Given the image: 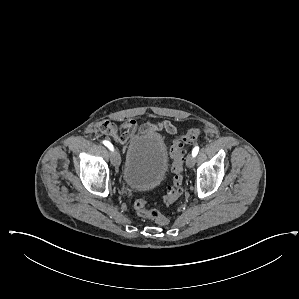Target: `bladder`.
I'll list each match as a JSON object with an SVG mask.
<instances>
[{
	"label": "bladder",
	"mask_w": 299,
	"mask_h": 299,
	"mask_svg": "<svg viewBox=\"0 0 299 299\" xmlns=\"http://www.w3.org/2000/svg\"><path fill=\"white\" fill-rule=\"evenodd\" d=\"M167 163V147L159 133L135 136L126 148L123 181L136 191L153 189L163 181Z\"/></svg>",
	"instance_id": "1"
}]
</instances>
